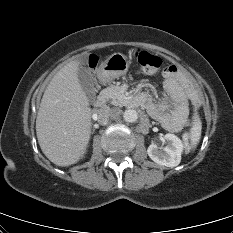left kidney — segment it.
I'll list each match as a JSON object with an SVG mask.
<instances>
[{
  "label": "left kidney",
  "mask_w": 233,
  "mask_h": 233,
  "mask_svg": "<svg viewBox=\"0 0 233 233\" xmlns=\"http://www.w3.org/2000/svg\"><path fill=\"white\" fill-rule=\"evenodd\" d=\"M164 139L167 145L159 148L152 143L147 150L148 156L157 164L166 167H175L181 161V154L184 149L183 142L174 134H166Z\"/></svg>",
  "instance_id": "5707ae66"
}]
</instances>
